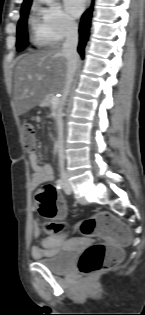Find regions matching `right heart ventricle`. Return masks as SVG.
I'll return each instance as SVG.
<instances>
[{"label": "right heart ventricle", "instance_id": "right-heart-ventricle-1", "mask_svg": "<svg viewBox=\"0 0 145 315\" xmlns=\"http://www.w3.org/2000/svg\"><path fill=\"white\" fill-rule=\"evenodd\" d=\"M31 39L34 45L42 47L50 43L41 23L37 18L31 19Z\"/></svg>", "mask_w": 145, "mask_h": 315}]
</instances>
